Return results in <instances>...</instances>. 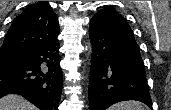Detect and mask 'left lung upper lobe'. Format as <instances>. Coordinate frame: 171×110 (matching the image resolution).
Returning <instances> with one entry per match:
<instances>
[{"instance_id": "1", "label": "left lung upper lobe", "mask_w": 171, "mask_h": 110, "mask_svg": "<svg viewBox=\"0 0 171 110\" xmlns=\"http://www.w3.org/2000/svg\"><path fill=\"white\" fill-rule=\"evenodd\" d=\"M96 18L106 22L115 32L134 40L133 32L126 19L112 8H104L95 14Z\"/></svg>"}]
</instances>
